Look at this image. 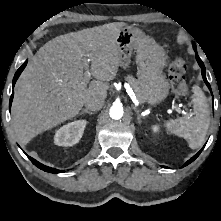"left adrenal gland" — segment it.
Here are the masks:
<instances>
[{
    "label": "left adrenal gland",
    "instance_id": "left-adrenal-gland-1",
    "mask_svg": "<svg viewBox=\"0 0 221 221\" xmlns=\"http://www.w3.org/2000/svg\"><path fill=\"white\" fill-rule=\"evenodd\" d=\"M132 108H133V110L136 112V114H137V120H138V123L139 124H141L142 123V118H145V117H142L141 115H140V113H139V110L136 108V106H132Z\"/></svg>",
    "mask_w": 221,
    "mask_h": 221
}]
</instances>
